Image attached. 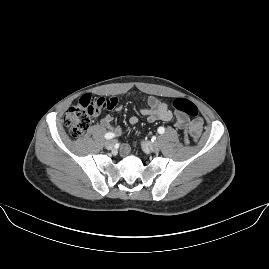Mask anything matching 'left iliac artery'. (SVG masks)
I'll list each match as a JSON object with an SVG mask.
<instances>
[{
  "label": "left iliac artery",
  "mask_w": 269,
  "mask_h": 269,
  "mask_svg": "<svg viewBox=\"0 0 269 269\" xmlns=\"http://www.w3.org/2000/svg\"><path fill=\"white\" fill-rule=\"evenodd\" d=\"M164 132H165L164 127H159L158 128V133L163 134Z\"/></svg>",
  "instance_id": "44dca946"
}]
</instances>
